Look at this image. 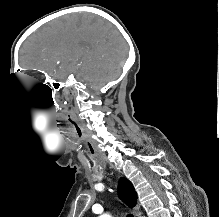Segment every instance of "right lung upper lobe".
<instances>
[{
	"instance_id": "1",
	"label": "right lung upper lobe",
	"mask_w": 219,
	"mask_h": 217,
	"mask_svg": "<svg viewBox=\"0 0 219 217\" xmlns=\"http://www.w3.org/2000/svg\"><path fill=\"white\" fill-rule=\"evenodd\" d=\"M118 192L120 198L128 205L134 207L137 202V193L134 190L132 183L126 178H121L118 184Z\"/></svg>"
}]
</instances>
